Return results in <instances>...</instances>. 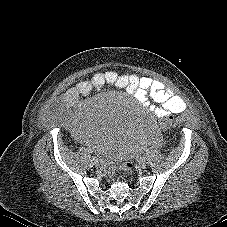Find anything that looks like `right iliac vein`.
<instances>
[{"label": "right iliac vein", "instance_id": "obj_1", "mask_svg": "<svg viewBox=\"0 0 227 227\" xmlns=\"http://www.w3.org/2000/svg\"><path fill=\"white\" fill-rule=\"evenodd\" d=\"M93 165H94L95 167H98V166H99V161H98V159L93 160Z\"/></svg>", "mask_w": 227, "mask_h": 227}]
</instances>
